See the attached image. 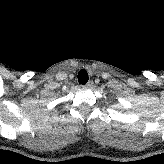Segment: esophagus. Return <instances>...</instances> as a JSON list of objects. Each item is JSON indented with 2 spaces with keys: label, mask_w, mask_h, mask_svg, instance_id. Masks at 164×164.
<instances>
[{
  "label": "esophagus",
  "mask_w": 164,
  "mask_h": 164,
  "mask_svg": "<svg viewBox=\"0 0 164 164\" xmlns=\"http://www.w3.org/2000/svg\"><path fill=\"white\" fill-rule=\"evenodd\" d=\"M93 84H94V82H93L92 80H90V81H88V82L86 83L85 87H87V88H92V87H93Z\"/></svg>",
  "instance_id": "34e87169"
}]
</instances>
